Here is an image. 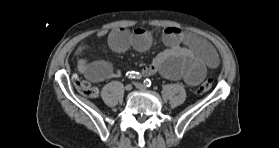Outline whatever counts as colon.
<instances>
[{"mask_svg": "<svg viewBox=\"0 0 279 148\" xmlns=\"http://www.w3.org/2000/svg\"><path fill=\"white\" fill-rule=\"evenodd\" d=\"M73 83L77 91L86 97L93 98L96 97L98 94V90L96 87H94L91 83L82 79L79 76H75L73 78ZM211 87H212L211 79H206L198 86L197 92L199 94H204L208 92L211 89Z\"/></svg>", "mask_w": 279, "mask_h": 148, "instance_id": "5ec220e1", "label": "colon"}]
</instances>
